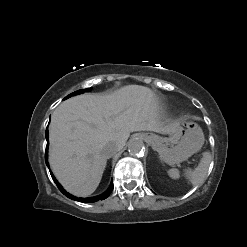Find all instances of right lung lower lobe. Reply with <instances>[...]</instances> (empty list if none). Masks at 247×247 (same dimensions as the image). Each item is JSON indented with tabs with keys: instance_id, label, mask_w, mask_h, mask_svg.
<instances>
[{
	"instance_id": "right-lung-lower-lobe-1",
	"label": "right lung lower lobe",
	"mask_w": 247,
	"mask_h": 247,
	"mask_svg": "<svg viewBox=\"0 0 247 247\" xmlns=\"http://www.w3.org/2000/svg\"><path fill=\"white\" fill-rule=\"evenodd\" d=\"M46 139H47V146H48L49 140H48V132L47 131H46ZM45 161H46V165L48 166V162H47V148H46V154H45ZM50 174L52 176V179L56 183L57 187L59 188V190L63 194H65L68 198L73 199L75 201H79V202H83V203H92V202H95V201H98V200H104L105 198H107L111 194V192L113 190V181H112L110 187L108 188V190L106 192H104L103 194H101L99 196H96V197H90V198H78V197H75V196L70 195L68 192H66L62 188V186L57 182V180L53 176L51 170H50Z\"/></svg>"
}]
</instances>
